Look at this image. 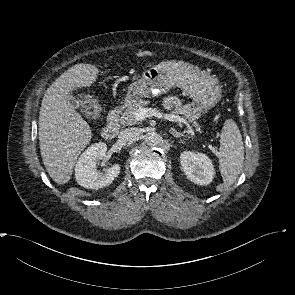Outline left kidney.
<instances>
[{
  "label": "left kidney",
  "instance_id": "left-kidney-1",
  "mask_svg": "<svg viewBox=\"0 0 295 295\" xmlns=\"http://www.w3.org/2000/svg\"><path fill=\"white\" fill-rule=\"evenodd\" d=\"M182 169L187 178L198 184L208 185L212 182L215 169L212 161L203 153L184 151L180 156Z\"/></svg>",
  "mask_w": 295,
  "mask_h": 295
}]
</instances>
